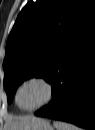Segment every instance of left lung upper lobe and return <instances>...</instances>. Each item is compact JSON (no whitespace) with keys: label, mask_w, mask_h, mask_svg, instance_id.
Listing matches in <instances>:
<instances>
[{"label":"left lung upper lobe","mask_w":95,"mask_h":130,"mask_svg":"<svg viewBox=\"0 0 95 130\" xmlns=\"http://www.w3.org/2000/svg\"><path fill=\"white\" fill-rule=\"evenodd\" d=\"M95 13L94 0H35L19 13L6 44L4 88L11 103L24 80L51 83L81 23Z\"/></svg>","instance_id":"left-lung-upper-lobe-1"}]
</instances>
